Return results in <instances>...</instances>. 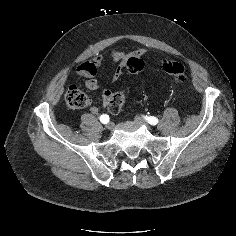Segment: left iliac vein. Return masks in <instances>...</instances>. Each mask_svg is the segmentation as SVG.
Listing matches in <instances>:
<instances>
[{
    "label": "left iliac vein",
    "mask_w": 236,
    "mask_h": 236,
    "mask_svg": "<svg viewBox=\"0 0 236 236\" xmlns=\"http://www.w3.org/2000/svg\"><path fill=\"white\" fill-rule=\"evenodd\" d=\"M135 121L149 127L148 123L144 119H141V118L137 117V118H135Z\"/></svg>",
    "instance_id": "obj_1"
}]
</instances>
